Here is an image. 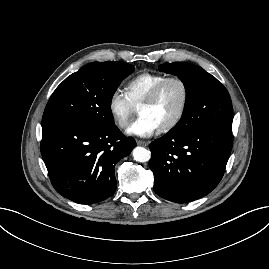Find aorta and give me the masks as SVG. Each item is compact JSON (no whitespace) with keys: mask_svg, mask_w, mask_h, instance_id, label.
Returning a JSON list of instances; mask_svg holds the SVG:
<instances>
[{"mask_svg":"<svg viewBox=\"0 0 269 269\" xmlns=\"http://www.w3.org/2000/svg\"><path fill=\"white\" fill-rule=\"evenodd\" d=\"M132 154L134 160L141 163L147 162L151 158V152L146 148L140 146L135 147L132 151Z\"/></svg>","mask_w":269,"mask_h":269,"instance_id":"obj_1","label":"aorta"}]
</instances>
